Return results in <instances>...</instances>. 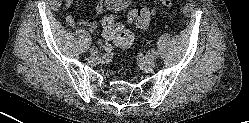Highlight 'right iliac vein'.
Here are the masks:
<instances>
[{"label":"right iliac vein","instance_id":"1","mask_svg":"<svg viewBox=\"0 0 249 123\" xmlns=\"http://www.w3.org/2000/svg\"><path fill=\"white\" fill-rule=\"evenodd\" d=\"M90 54L95 56L98 54V49L96 47H91L90 48Z\"/></svg>","mask_w":249,"mask_h":123}]
</instances>
